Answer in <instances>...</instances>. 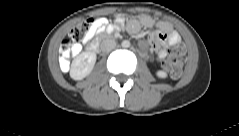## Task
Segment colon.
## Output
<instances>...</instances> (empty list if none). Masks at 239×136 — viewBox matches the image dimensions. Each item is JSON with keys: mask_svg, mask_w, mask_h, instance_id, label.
I'll return each instance as SVG.
<instances>
[{"mask_svg": "<svg viewBox=\"0 0 239 136\" xmlns=\"http://www.w3.org/2000/svg\"><path fill=\"white\" fill-rule=\"evenodd\" d=\"M95 19H87L75 26L60 46V65L67 68L71 57L77 52L78 45L84 41L95 25ZM186 49L182 44L173 45L164 63L165 69L173 78L182 74Z\"/></svg>", "mask_w": 239, "mask_h": 136, "instance_id": "1", "label": "colon"}]
</instances>
